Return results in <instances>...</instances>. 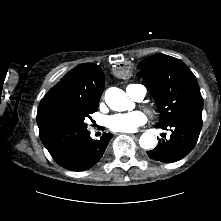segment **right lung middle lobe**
I'll return each mask as SVG.
<instances>
[{"mask_svg":"<svg viewBox=\"0 0 221 221\" xmlns=\"http://www.w3.org/2000/svg\"><path fill=\"white\" fill-rule=\"evenodd\" d=\"M97 105L82 107L64 103L53 104L37 113L40 137L51 152L58 151L86 134L87 119L97 110Z\"/></svg>","mask_w":221,"mask_h":221,"instance_id":"1","label":"right lung middle lobe"}]
</instances>
